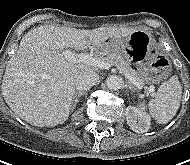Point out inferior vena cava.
I'll return each mask as SVG.
<instances>
[{
	"label": "inferior vena cava",
	"instance_id": "inferior-vena-cava-1",
	"mask_svg": "<svg viewBox=\"0 0 190 165\" xmlns=\"http://www.w3.org/2000/svg\"><path fill=\"white\" fill-rule=\"evenodd\" d=\"M99 79V76L94 71H85L79 74L75 80V87L78 91L90 89Z\"/></svg>",
	"mask_w": 190,
	"mask_h": 165
}]
</instances>
